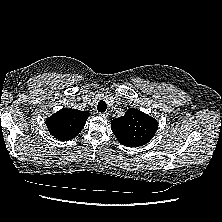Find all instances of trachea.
<instances>
[{
	"mask_svg": "<svg viewBox=\"0 0 222 222\" xmlns=\"http://www.w3.org/2000/svg\"><path fill=\"white\" fill-rule=\"evenodd\" d=\"M107 109V105L105 101H100L97 105V110L100 113H104Z\"/></svg>",
	"mask_w": 222,
	"mask_h": 222,
	"instance_id": "trachea-1",
	"label": "trachea"
}]
</instances>
